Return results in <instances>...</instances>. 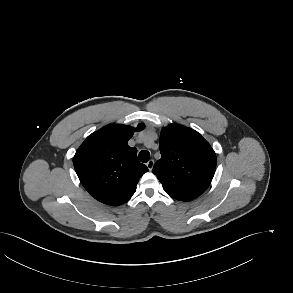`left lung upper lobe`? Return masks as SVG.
<instances>
[{
  "instance_id": "5c2ea615",
  "label": "left lung upper lobe",
  "mask_w": 293,
  "mask_h": 293,
  "mask_svg": "<svg viewBox=\"0 0 293 293\" xmlns=\"http://www.w3.org/2000/svg\"><path fill=\"white\" fill-rule=\"evenodd\" d=\"M160 152L162 157L155 163L153 173L171 197L189 201L209 187L216 154L198 132L178 124L162 128Z\"/></svg>"
}]
</instances>
